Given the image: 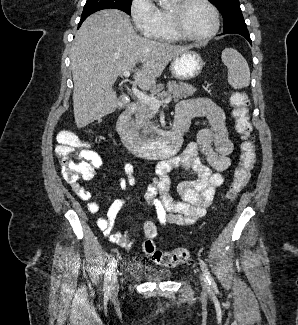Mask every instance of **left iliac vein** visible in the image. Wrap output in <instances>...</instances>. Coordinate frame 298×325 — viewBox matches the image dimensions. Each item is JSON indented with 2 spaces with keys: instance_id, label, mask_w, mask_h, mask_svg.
<instances>
[{
  "instance_id": "left-iliac-vein-1",
  "label": "left iliac vein",
  "mask_w": 298,
  "mask_h": 325,
  "mask_svg": "<svg viewBox=\"0 0 298 325\" xmlns=\"http://www.w3.org/2000/svg\"><path fill=\"white\" fill-rule=\"evenodd\" d=\"M200 281H201V286L204 290H209V284L208 281L203 273L200 274Z\"/></svg>"
}]
</instances>
